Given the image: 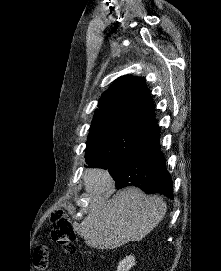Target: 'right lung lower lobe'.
<instances>
[{"instance_id": "right-lung-lower-lobe-1", "label": "right lung lower lobe", "mask_w": 221, "mask_h": 271, "mask_svg": "<svg viewBox=\"0 0 221 271\" xmlns=\"http://www.w3.org/2000/svg\"><path fill=\"white\" fill-rule=\"evenodd\" d=\"M159 135L158 125H155L136 149L107 168L117 189L135 186L146 194L158 193L173 199L172 179L160 151Z\"/></svg>"}]
</instances>
